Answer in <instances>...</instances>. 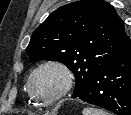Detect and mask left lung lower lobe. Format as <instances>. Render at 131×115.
<instances>
[{
    "label": "left lung lower lobe",
    "instance_id": "0a47b994",
    "mask_svg": "<svg viewBox=\"0 0 131 115\" xmlns=\"http://www.w3.org/2000/svg\"><path fill=\"white\" fill-rule=\"evenodd\" d=\"M76 97L117 115H131L130 41Z\"/></svg>",
    "mask_w": 131,
    "mask_h": 115
}]
</instances>
